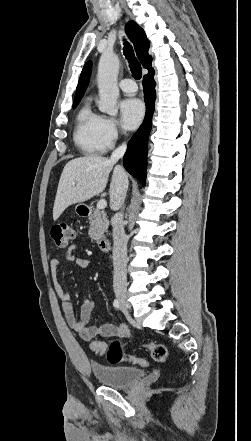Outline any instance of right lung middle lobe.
Returning <instances> with one entry per match:
<instances>
[{"mask_svg":"<svg viewBox=\"0 0 251 441\" xmlns=\"http://www.w3.org/2000/svg\"><path fill=\"white\" fill-rule=\"evenodd\" d=\"M80 101H75L73 102V109H75L77 107V105L79 104Z\"/></svg>","mask_w":251,"mask_h":441,"instance_id":"obj_1","label":"right lung middle lobe"}]
</instances>
